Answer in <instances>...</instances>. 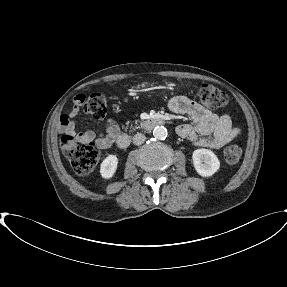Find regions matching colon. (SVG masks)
Here are the masks:
<instances>
[{
  "label": "colon",
  "instance_id": "1",
  "mask_svg": "<svg viewBox=\"0 0 287 287\" xmlns=\"http://www.w3.org/2000/svg\"><path fill=\"white\" fill-rule=\"evenodd\" d=\"M198 97L203 105L212 109H222L228 102L226 93L210 84H204L199 88ZM76 99L79 107L92 117L100 119L105 116L107 98L104 94L97 92L88 97L78 96ZM61 147L79 175L91 173L100 159L99 148L76 132L64 133L61 137ZM241 155L242 149L238 144H230L224 150V158L228 164H236Z\"/></svg>",
  "mask_w": 287,
  "mask_h": 287
}]
</instances>
